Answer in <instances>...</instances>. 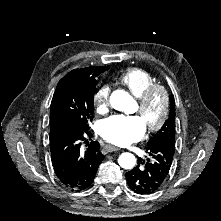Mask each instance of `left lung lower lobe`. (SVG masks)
<instances>
[{"label":"left lung lower lobe","mask_w":221,"mask_h":221,"mask_svg":"<svg viewBox=\"0 0 221 221\" xmlns=\"http://www.w3.org/2000/svg\"><path fill=\"white\" fill-rule=\"evenodd\" d=\"M152 156L148 162L141 158L138 165L126 173L128 186L138 194H151L157 191L166 181L175 152V145L161 142L146 148Z\"/></svg>","instance_id":"obj_1"}]
</instances>
